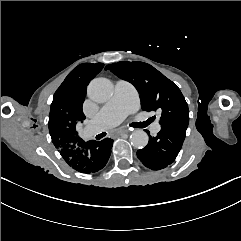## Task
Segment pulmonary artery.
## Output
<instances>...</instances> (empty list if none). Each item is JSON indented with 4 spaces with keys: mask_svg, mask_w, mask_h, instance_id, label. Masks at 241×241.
<instances>
[{
    "mask_svg": "<svg viewBox=\"0 0 241 241\" xmlns=\"http://www.w3.org/2000/svg\"><path fill=\"white\" fill-rule=\"evenodd\" d=\"M137 100L132 86L127 82H118L115 86V94L111 101L107 102L101 109L103 113L98 114L87 124V129L92 134L106 131L111 126L119 124L131 112V104ZM149 132L156 133L161 130V125L154 119L145 123Z\"/></svg>",
    "mask_w": 241,
    "mask_h": 241,
    "instance_id": "1",
    "label": "pulmonary artery"
}]
</instances>
